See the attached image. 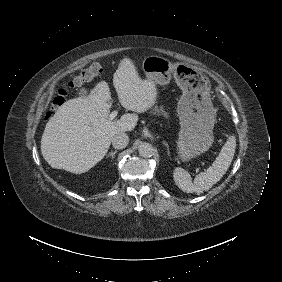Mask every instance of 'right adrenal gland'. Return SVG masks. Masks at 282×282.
Here are the masks:
<instances>
[{"label":"right adrenal gland","mask_w":282,"mask_h":282,"mask_svg":"<svg viewBox=\"0 0 282 282\" xmlns=\"http://www.w3.org/2000/svg\"><path fill=\"white\" fill-rule=\"evenodd\" d=\"M117 153V150H115V151H111V152H109V154L108 155H106V157H111L112 159H114L115 158V154Z\"/></svg>","instance_id":"obj_1"}]
</instances>
